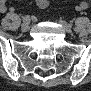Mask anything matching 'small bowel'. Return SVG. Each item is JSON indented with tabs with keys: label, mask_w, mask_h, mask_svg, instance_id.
Wrapping results in <instances>:
<instances>
[{
	"label": "small bowel",
	"mask_w": 91,
	"mask_h": 91,
	"mask_svg": "<svg viewBox=\"0 0 91 91\" xmlns=\"http://www.w3.org/2000/svg\"><path fill=\"white\" fill-rule=\"evenodd\" d=\"M37 5H38L39 7H41V8H45V7L48 6V0H37ZM88 7H89V3H88L87 1H81V2H79L78 5L76 6V9H77L78 11H84V10L88 9ZM6 10H7V7L5 6V4L2 3V4L0 5V12H1V13H4V12H6ZM10 10H11V11H14L13 8H11Z\"/></svg>",
	"instance_id": "obj_1"
}]
</instances>
